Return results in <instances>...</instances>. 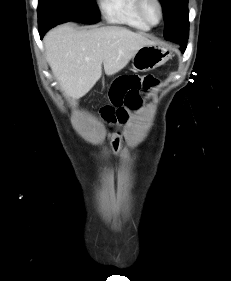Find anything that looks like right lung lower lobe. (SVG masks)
Here are the masks:
<instances>
[{
  "label": "right lung lower lobe",
  "mask_w": 231,
  "mask_h": 281,
  "mask_svg": "<svg viewBox=\"0 0 231 281\" xmlns=\"http://www.w3.org/2000/svg\"><path fill=\"white\" fill-rule=\"evenodd\" d=\"M57 25L56 23H51V24H39V34L40 37L43 38L44 34L52 27Z\"/></svg>",
  "instance_id": "1"
}]
</instances>
